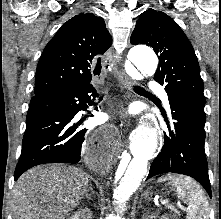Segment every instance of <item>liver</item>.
Segmentation results:
<instances>
[{"mask_svg":"<svg viewBox=\"0 0 221 219\" xmlns=\"http://www.w3.org/2000/svg\"><path fill=\"white\" fill-rule=\"evenodd\" d=\"M89 188V176L77 167H34L15 183L12 219H65Z\"/></svg>","mask_w":221,"mask_h":219,"instance_id":"1","label":"liver"}]
</instances>
